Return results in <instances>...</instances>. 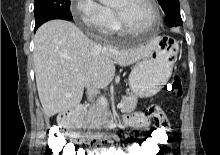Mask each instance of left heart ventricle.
<instances>
[{
    "mask_svg": "<svg viewBox=\"0 0 220 155\" xmlns=\"http://www.w3.org/2000/svg\"><path fill=\"white\" fill-rule=\"evenodd\" d=\"M133 28L141 29L151 21L150 7L145 0H116L113 5Z\"/></svg>",
    "mask_w": 220,
    "mask_h": 155,
    "instance_id": "b2bd125f",
    "label": "left heart ventricle"
}]
</instances>
